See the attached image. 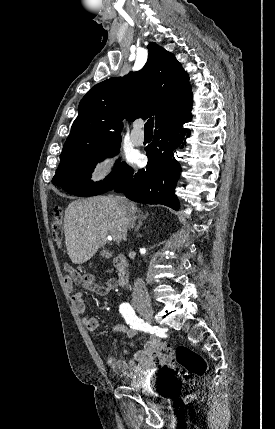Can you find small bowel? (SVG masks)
<instances>
[{
    "instance_id": "obj_1",
    "label": "small bowel",
    "mask_w": 275,
    "mask_h": 429,
    "mask_svg": "<svg viewBox=\"0 0 275 429\" xmlns=\"http://www.w3.org/2000/svg\"><path fill=\"white\" fill-rule=\"evenodd\" d=\"M67 289L70 292H73L74 283L80 284L82 287L87 290L93 291L98 295H106L116 287V281L114 279H108L104 284H98L95 281V277L90 273H77L75 270L70 268V273L67 276H64ZM72 304L75 310L84 314L86 311V305L84 301V295L82 292H76L72 294ZM83 324L89 331H97L99 328V321L96 317L93 316H84ZM112 330L117 333H123L128 338H134L138 330L133 329L125 325H115ZM161 341L157 337H150L146 342L144 348L135 353L133 358L128 361L108 358V364L113 368V370L126 377H137L144 373H150L157 369L159 359L158 352L161 347ZM123 353H127L126 348L122 347Z\"/></svg>"
}]
</instances>
